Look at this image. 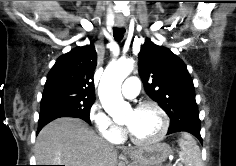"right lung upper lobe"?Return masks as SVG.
Wrapping results in <instances>:
<instances>
[{"label": "right lung upper lobe", "mask_w": 236, "mask_h": 166, "mask_svg": "<svg viewBox=\"0 0 236 166\" xmlns=\"http://www.w3.org/2000/svg\"><path fill=\"white\" fill-rule=\"evenodd\" d=\"M97 54L93 44L76 47L60 56L47 76L44 92L95 97L93 73Z\"/></svg>", "instance_id": "right-lung-upper-lobe-1"}]
</instances>
